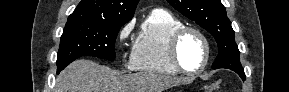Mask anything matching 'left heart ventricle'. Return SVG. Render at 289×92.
Wrapping results in <instances>:
<instances>
[{
    "instance_id": "left-heart-ventricle-1",
    "label": "left heart ventricle",
    "mask_w": 289,
    "mask_h": 92,
    "mask_svg": "<svg viewBox=\"0 0 289 92\" xmlns=\"http://www.w3.org/2000/svg\"><path fill=\"white\" fill-rule=\"evenodd\" d=\"M205 49L201 39L193 34L188 33L183 37L179 46V58L187 70L198 69L204 60Z\"/></svg>"
}]
</instances>
